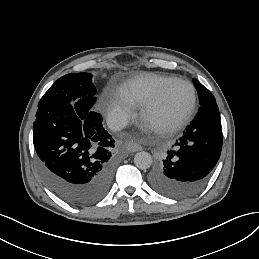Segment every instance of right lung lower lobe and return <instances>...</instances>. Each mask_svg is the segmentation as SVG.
Listing matches in <instances>:
<instances>
[{"instance_id":"obj_1","label":"right lung lower lobe","mask_w":259,"mask_h":259,"mask_svg":"<svg viewBox=\"0 0 259 259\" xmlns=\"http://www.w3.org/2000/svg\"><path fill=\"white\" fill-rule=\"evenodd\" d=\"M33 142L42 178L65 202L87 206L110 189L115 145L99 113L83 115L71 104L38 108Z\"/></svg>"}]
</instances>
